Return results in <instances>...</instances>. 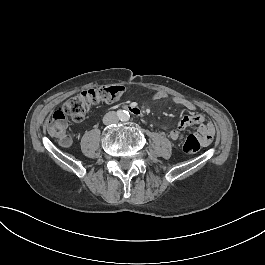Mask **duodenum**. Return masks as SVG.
Instances as JSON below:
<instances>
[{
	"label": "duodenum",
	"mask_w": 265,
	"mask_h": 265,
	"mask_svg": "<svg viewBox=\"0 0 265 265\" xmlns=\"http://www.w3.org/2000/svg\"><path fill=\"white\" fill-rule=\"evenodd\" d=\"M126 110H128L129 112H131L133 115L136 116H143L144 112L137 106L135 105H126L124 107Z\"/></svg>",
	"instance_id": "410a0bca"
}]
</instances>
